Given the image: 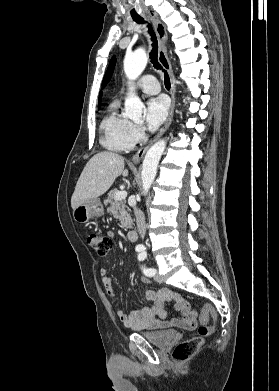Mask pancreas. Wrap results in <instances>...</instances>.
I'll return each mask as SVG.
<instances>
[{
  "instance_id": "1",
  "label": "pancreas",
  "mask_w": 279,
  "mask_h": 391,
  "mask_svg": "<svg viewBox=\"0 0 279 391\" xmlns=\"http://www.w3.org/2000/svg\"><path fill=\"white\" fill-rule=\"evenodd\" d=\"M116 192L117 190H111L104 200L105 205L110 204L107 211L119 219L123 227L132 228L133 220L131 218L130 209L126 206L125 200L114 199Z\"/></svg>"
}]
</instances>
